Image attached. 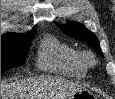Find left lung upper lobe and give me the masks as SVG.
<instances>
[{
	"instance_id": "5c2ea615",
	"label": "left lung upper lobe",
	"mask_w": 115,
	"mask_h": 99,
	"mask_svg": "<svg viewBox=\"0 0 115 99\" xmlns=\"http://www.w3.org/2000/svg\"><path fill=\"white\" fill-rule=\"evenodd\" d=\"M58 26L65 34L90 44L93 49L103 57L102 50L100 48V43L97 37L92 32L87 30L84 25L79 24L77 22H72L67 25L58 24Z\"/></svg>"
}]
</instances>
